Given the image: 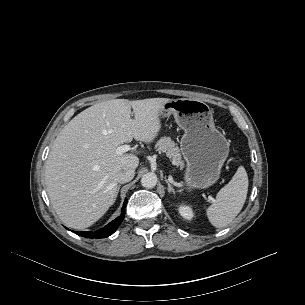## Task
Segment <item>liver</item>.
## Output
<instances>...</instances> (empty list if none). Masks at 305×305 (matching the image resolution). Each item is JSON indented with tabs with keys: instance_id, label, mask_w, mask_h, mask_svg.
<instances>
[{
	"instance_id": "obj_1",
	"label": "liver",
	"mask_w": 305,
	"mask_h": 305,
	"mask_svg": "<svg viewBox=\"0 0 305 305\" xmlns=\"http://www.w3.org/2000/svg\"><path fill=\"white\" fill-rule=\"evenodd\" d=\"M170 100L97 103L60 131L45 164V183L51 204L66 226L84 229L106 213L115 202L118 172L139 165L136 155H119L117 147L133 138L152 142L161 129L163 105Z\"/></svg>"
}]
</instances>
